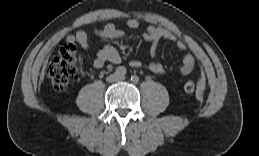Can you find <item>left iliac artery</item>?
I'll return each instance as SVG.
<instances>
[{"instance_id":"1","label":"left iliac artery","mask_w":259,"mask_h":156,"mask_svg":"<svg viewBox=\"0 0 259 156\" xmlns=\"http://www.w3.org/2000/svg\"><path fill=\"white\" fill-rule=\"evenodd\" d=\"M131 81H132L133 83H138V82H139V77H138L137 75H132V76H131Z\"/></svg>"}]
</instances>
